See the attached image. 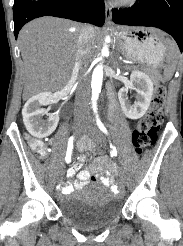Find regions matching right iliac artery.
<instances>
[{"label":"right iliac artery","mask_w":183,"mask_h":246,"mask_svg":"<svg viewBox=\"0 0 183 246\" xmlns=\"http://www.w3.org/2000/svg\"><path fill=\"white\" fill-rule=\"evenodd\" d=\"M73 141H74V137H70L69 141H68V147H67V152H66V157H65V161L69 162L71 159V154H72V150H73Z\"/></svg>","instance_id":"right-iliac-artery-1"}]
</instances>
